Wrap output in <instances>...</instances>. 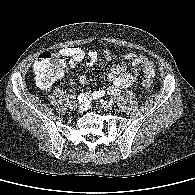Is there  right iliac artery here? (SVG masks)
Listing matches in <instances>:
<instances>
[{"mask_svg": "<svg viewBox=\"0 0 195 195\" xmlns=\"http://www.w3.org/2000/svg\"><path fill=\"white\" fill-rule=\"evenodd\" d=\"M71 98H75V96H71Z\"/></svg>", "mask_w": 195, "mask_h": 195, "instance_id": "right-iliac-artery-1", "label": "right iliac artery"}]
</instances>
